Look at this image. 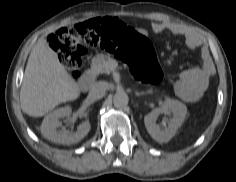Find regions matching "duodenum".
Wrapping results in <instances>:
<instances>
[{
    "mask_svg": "<svg viewBox=\"0 0 236 182\" xmlns=\"http://www.w3.org/2000/svg\"><path fill=\"white\" fill-rule=\"evenodd\" d=\"M95 80V76L91 71H88L85 76L83 77V79L80 81L79 83V89L82 92H86L88 91L91 86L93 85Z\"/></svg>",
    "mask_w": 236,
    "mask_h": 182,
    "instance_id": "obj_1",
    "label": "duodenum"
}]
</instances>
